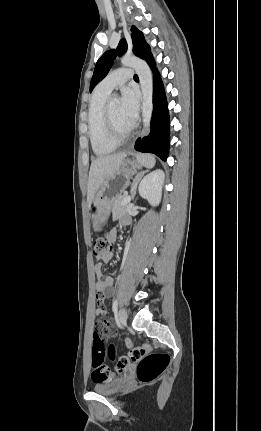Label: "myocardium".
<instances>
[{
    "instance_id": "obj_1",
    "label": "myocardium",
    "mask_w": 261,
    "mask_h": 431,
    "mask_svg": "<svg viewBox=\"0 0 261 431\" xmlns=\"http://www.w3.org/2000/svg\"><path fill=\"white\" fill-rule=\"evenodd\" d=\"M103 121H104L105 132H106L108 140L116 146L122 145L125 142H127V140L130 138V136L133 132L132 128H130L124 134H120L116 130V128H115V126L111 120V116H110V112H109V106H105V108H104Z\"/></svg>"
}]
</instances>
